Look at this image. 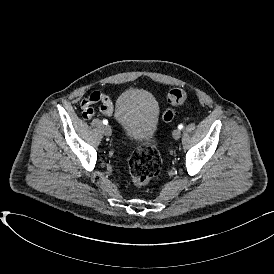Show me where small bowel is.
Segmentation results:
<instances>
[{"label":"small bowel","mask_w":274,"mask_h":274,"mask_svg":"<svg viewBox=\"0 0 274 274\" xmlns=\"http://www.w3.org/2000/svg\"><path fill=\"white\" fill-rule=\"evenodd\" d=\"M94 104H100L99 110L104 115H111L113 113L114 106L111 99L101 91H93L88 97L80 102L82 117L85 120H89L93 117L94 109L92 106Z\"/></svg>","instance_id":"obj_1"}]
</instances>
